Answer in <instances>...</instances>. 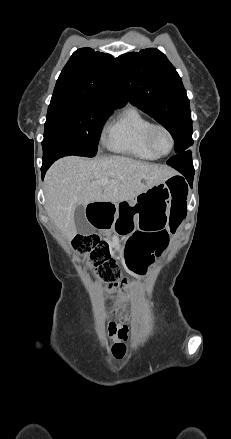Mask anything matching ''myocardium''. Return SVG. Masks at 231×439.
I'll list each match as a JSON object with an SVG mask.
<instances>
[{
    "label": "myocardium",
    "mask_w": 231,
    "mask_h": 439,
    "mask_svg": "<svg viewBox=\"0 0 231 439\" xmlns=\"http://www.w3.org/2000/svg\"><path fill=\"white\" fill-rule=\"evenodd\" d=\"M157 130H162L168 136L170 146H169L168 151L165 153H159L154 146L153 136ZM146 142H147L149 149L157 157H165V156L169 155L175 148V137H174L173 132L170 130V128L168 126L161 124V123H152L151 124V126L149 127L147 134H146Z\"/></svg>",
    "instance_id": "obj_1"
}]
</instances>
